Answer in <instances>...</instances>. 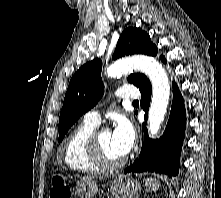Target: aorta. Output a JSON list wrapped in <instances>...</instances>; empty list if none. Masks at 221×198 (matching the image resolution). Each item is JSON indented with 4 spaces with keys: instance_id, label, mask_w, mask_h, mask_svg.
<instances>
[{
    "instance_id": "1",
    "label": "aorta",
    "mask_w": 221,
    "mask_h": 198,
    "mask_svg": "<svg viewBox=\"0 0 221 198\" xmlns=\"http://www.w3.org/2000/svg\"><path fill=\"white\" fill-rule=\"evenodd\" d=\"M139 70L145 73L152 82L153 92L149 108L148 123L149 134L155 137L164 120L170 97V85L167 73L162 65L154 58L140 55L122 59L113 63L107 68L108 77H117Z\"/></svg>"
}]
</instances>
